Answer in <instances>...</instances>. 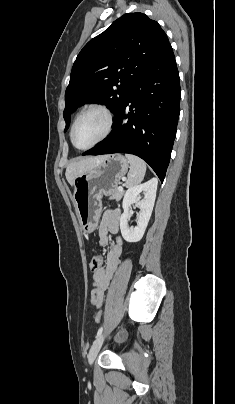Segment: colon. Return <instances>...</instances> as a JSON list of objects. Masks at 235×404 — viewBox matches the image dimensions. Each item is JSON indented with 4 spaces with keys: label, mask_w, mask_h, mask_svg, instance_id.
I'll list each match as a JSON object with an SVG mask.
<instances>
[{
    "label": "colon",
    "mask_w": 235,
    "mask_h": 404,
    "mask_svg": "<svg viewBox=\"0 0 235 404\" xmlns=\"http://www.w3.org/2000/svg\"><path fill=\"white\" fill-rule=\"evenodd\" d=\"M103 265V257L100 254H95L90 260V269L92 271L99 270ZM102 320V312L98 311L94 315V321L100 323Z\"/></svg>",
    "instance_id": "obj_1"
}]
</instances>
